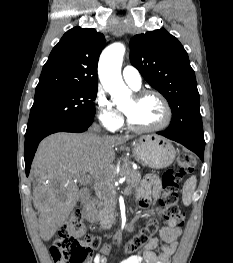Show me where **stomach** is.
I'll use <instances>...</instances> for the list:
<instances>
[{"label": "stomach", "instance_id": "stomach-1", "mask_svg": "<svg viewBox=\"0 0 233 263\" xmlns=\"http://www.w3.org/2000/svg\"><path fill=\"white\" fill-rule=\"evenodd\" d=\"M132 146L133 155L150 168H165L173 163L176 156L172 144L159 136H140L134 140Z\"/></svg>", "mask_w": 233, "mask_h": 263}]
</instances>
